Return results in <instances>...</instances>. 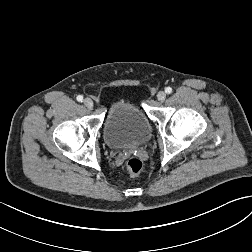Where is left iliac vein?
I'll return each mask as SVG.
<instances>
[{
    "label": "left iliac vein",
    "mask_w": 252,
    "mask_h": 252,
    "mask_svg": "<svg viewBox=\"0 0 252 252\" xmlns=\"http://www.w3.org/2000/svg\"><path fill=\"white\" fill-rule=\"evenodd\" d=\"M157 99L158 101L163 102L166 99V93L164 91L158 92Z\"/></svg>",
    "instance_id": "obj_1"
}]
</instances>
